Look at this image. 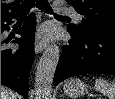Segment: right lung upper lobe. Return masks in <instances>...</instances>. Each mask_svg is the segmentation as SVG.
<instances>
[{"instance_id":"cb5924a9","label":"right lung upper lobe","mask_w":115,"mask_h":99,"mask_svg":"<svg viewBox=\"0 0 115 99\" xmlns=\"http://www.w3.org/2000/svg\"><path fill=\"white\" fill-rule=\"evenodd\" d=\"M21 1L15 0L14 2H10L9 0H1V20L18 15V7Z\"/></svg>"}]
</instances>
